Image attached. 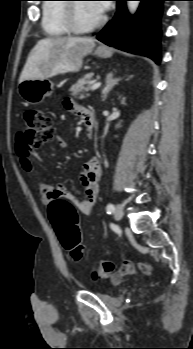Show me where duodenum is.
<instances>
[{"instance_id": "duodenum-1", "label": "duodenum", "mask_w": 193, "mask_h": 349, "mask_svg": "<svg viewBox=\"0 0 193 349\" xmlns=\"http://www.w3.org/2000/svg\"><path fill=\"white\" fill-rule=\"evenodd\" d=\"M84 119H85V128L87 133H92L93 126H94V116L93 114L85 110L84 111Z\"/></svg>"}]
</instances>
